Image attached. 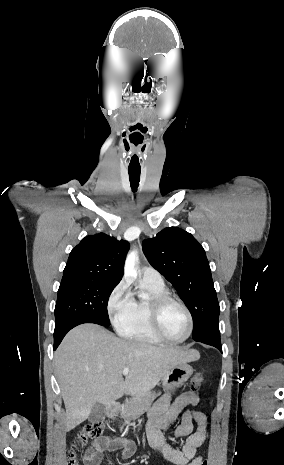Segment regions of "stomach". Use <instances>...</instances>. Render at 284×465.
I'll return each instance as SVG.
<instances>
[{"mask_svg": "<svg viewBox=\"0 0 284 465\" xmlns=\"http://www.w3.org/2000/svg\"><path fill=\"white\" fill-rule=\"evenodd\" d=\"M192 373L193 369L190 365H187V363L176 365V367L167 371L162 379L164 391H175V389H179V387H182V385L190 379Z\"/></svg>", "mask_w": 284, "mask_h": 465, "instance_id": "1", "label": "stomach"}]
</instances>
